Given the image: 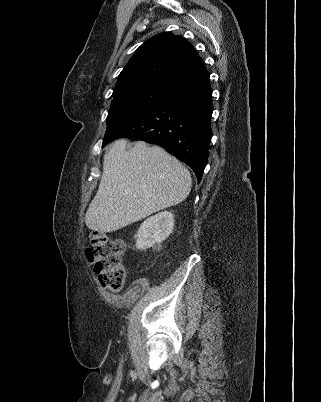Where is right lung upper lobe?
Segmentation results:
<instances>
[{
  "instance_id": "right-lung-upper-lobe-1",
  "label": "right lung upper lobe",
  "mask_w": 321,
  "mask_h": 402,
  "mask_svg": "<svg viewBox=\"0 0 321 402\" xmlns=\"http://www.w3.org/2000/svg\"><path fill=\"white\" fill-rule=\"evenodd\" d=\"M202 69L204 67L188 41L172 33H162L135 51L120 73L114 92L148 83L172 86Z\"/></svg>"
}]
</instances>
